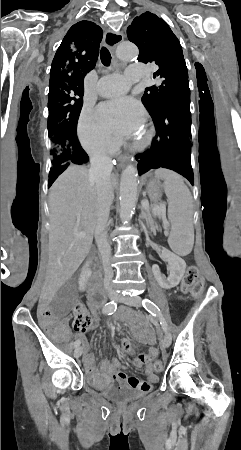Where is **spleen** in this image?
I'll return each mask as SVG.
<instances>
[{
  "mask_svg": "<svg viewBox=\"0 0 241 450\" xmlns=\"http://www.w3.org/2000/svg\"><path fill=\"white\" fill-rule=\"evenodd\" d=\"M155 178L164 180V192L169 198L168 216L172 226L168 244L178 256H188L194 244V230L191 224L192 196L181 176L170 170H156ZM177 221V222H176Z\"/></svg>",
  "mask_w": 241,
  "mask_h": 450,
  "instance_id": "obj_1",
  "label": "spleen"
}]
</instances>
